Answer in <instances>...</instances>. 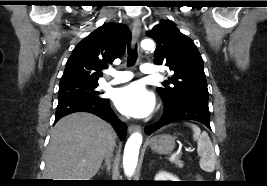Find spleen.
Instances as JSON below:
<instances>
[{
  "mask_svg": "<svg viewBox=\"0 0 267 186\" xmlns=\"http://www.w3.org/2000/svg\"><path fill=\"white\" fill-rule=\"evenodd\" d=\"M193 130V138L197 141V152L200 156V167L204 171L212 172L215 169L216 156L214 147L208 136L204 131L201 132L197 125L189 124Z\"/></svg>",
  "mask_w": 267,
  "mask_h": 186,
  "instance_id": "spleen-1",
  "label": "spleen"
}]
</instances>
